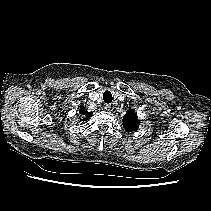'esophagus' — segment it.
<instances>
[{"instance_id":"obj_1","label":"esophagus","mask_w":211,"mask_h":211,"mask_svg":"<svg viewBox=\"0 0 211 211\" xmlns=\"http://www.w3.org/2000/svg\"><path fill=\"white\" fill-rule=\"evenodd\" d=\"M104 109H105L106 111H110L111 105H110V104H105V105H104Z\"/></svg>"}]
</instances>
